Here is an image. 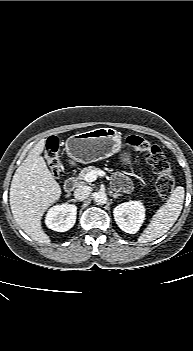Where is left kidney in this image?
I'll return each mask as SVG.
<instances>
[{
	"label": "left kidney",
	"instance_id": "5707ae66",
	"mask_svg": "<svg viewBox=\"0 0 193 351\" xmlns=\"http://www.w3.org/2000/svg\"><path fill=\"white\" fill-rule=\"evenodd\" d=\"M113 215L121 230L135 234L145 220V207L140 201L124 202L114 208Z\"/></svg>",
	"mask_w": 193,
	"mask_h": 351
}]
</instances>
